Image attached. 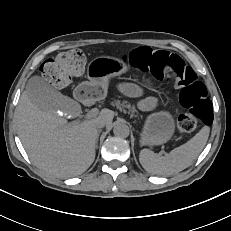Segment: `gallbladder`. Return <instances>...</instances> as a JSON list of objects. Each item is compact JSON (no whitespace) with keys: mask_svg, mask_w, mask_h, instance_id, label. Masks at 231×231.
Wrapping results in <instances>:
<instances>
[{"mask_svg":"<svg viewBox=\"0 0 231 231\" xmlns=\"http://www.w3.org/2000/svg\"><path fill=\"white\" fill-rule=\"evenodd\" d=\"M26 94L31 102L41 110H63L62 105L70 99L51 87L41 77H31L26 85Z\"/></svg>","mask_w":231,"mask_h":231,"instance_id":"gallbladder-1","label":"gallbladder"}]
</instances>
